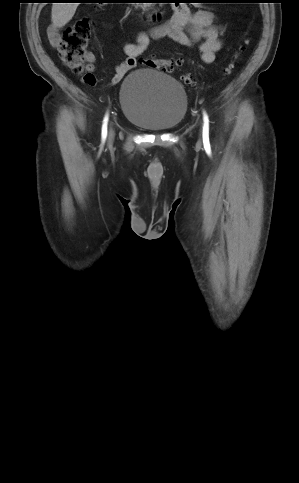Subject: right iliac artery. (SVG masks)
<instances>
[{
  "label": "right iliac artery",
  "instance_id": "obj_1",
  "mask_svg": "<svg viewBox=\"0 0 299 483\" xmlns=\"http://www.w3.org/2000/svg\"><path fill=\"white\" fill-rule=\"evenodd\" d=\"M107 122H108V116L106 115V117L104 119V124H103V127H102V139H103V141L106 139V135H107Z\"/></svg>",
  "mask_w": 299,
  "mask_h": 483
}]
</instances>
